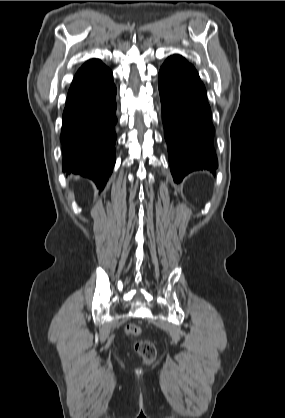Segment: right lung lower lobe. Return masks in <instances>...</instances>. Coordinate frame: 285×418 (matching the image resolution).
Returning <instances> with one entry per match:
<instances>
[{
    "instance_id": "right-lung-lower-lobe-1",
    "label": "right lung lower lobe",
    "mask_w": 285,
    "mask_h": 418,
    "mask_svg": "<svg viewBox=\"0 0 285 418\" xmlns=\"http://www.w3.org/2000/svg\"><path fill=\"white\" fill-rule=\"evenodd\" d=\"M116 87L110 69L68 92L60 140L63 171L92 179L102 190L116 161Z\"/></svg>"
}]
</instances>
